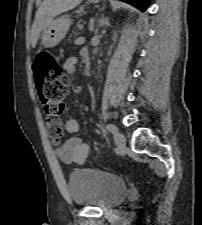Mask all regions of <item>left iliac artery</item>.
<instances>
[{
  "instance_id": "1",
  "label": "left iliac artery",
  "mask_w": 202,
  "mask_h": 225,
  "mask_svg": "<svg viewBox=\"0 0 202 225\" xmlns=\"http://www.w3.org/2000/svg\"><path fill=\"white\" fill-rule=\"evenodd\" d=\"M106 128H107L108 131H110V132H112V133L117 132V127L114 126V125H112V124H107V125H106Z\"/></svg>"
}]
</instances>
